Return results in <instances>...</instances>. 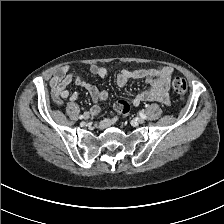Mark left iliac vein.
Wrapping results in <instances>:
<instances>
[{
	"label": "left iliac vein",
	"instance_id": "4c4485c4",
	"mask_svg": "<svg viewBox=\"0 0 224 224\" xmlns=\"http://www.w3.org/2000/svg\"><path fill=\"white\" fill-rule=\"evenodd\" d=\"M144 121H145V120H144L142 117H140V118L137 119V122H138L139 124H143Z\"/></svg>",
	"mask_w": 224,
	"mask_h": 224
}]
</instances>
